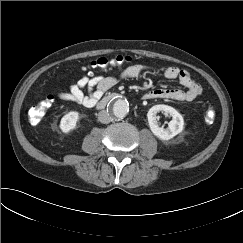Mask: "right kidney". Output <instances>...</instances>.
<instances>
[{
    "instance_id": "obj_1",
    "label": "right kidney",
    "mask_w": 243,
    "mask_h": 243,
    "mask_svg": "<svg viewBox=\"0 0 243 243\" xmlns=\"http://www.w3.org/2000/svg\"><path fill=\"white\" fill-rule=\"evenodd\" d=\"M78 120L79 113L76 111H70L62 117L59 128L63 133H68L71 130L75 129Z\"/></svg>"
}]
</instances>
